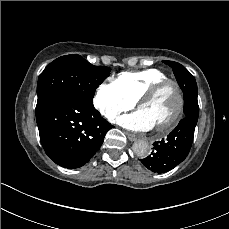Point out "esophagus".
I'll use <instances>...</instances> for the list:
<instances>
[{"label":"esophagus","instance_id":"34e87169","mask_svg":"<svg viewBox=\"0 0 229 229\" xmlns=\"http://www.w3.org/2000/svg\"><path fill=\"white\" fill-rule=\"evenodd\" d=\"M127 138L131 141L134 142L135 140H137V136H135L134 134L128 133L126 132Z\"/></svg>","mask_w":229,"mask_h":229}]
</instances>
